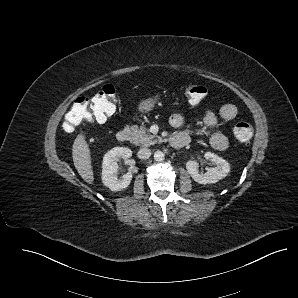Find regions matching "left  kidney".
<instances>
[{
  "label": "left kidney",
  "mask_w": 298,
  "mask_h": 298,
  "mask_svg": "<svg viewBox=\"0 0 298 298\" xmlns=\"http://www.w3.org/2000/svg\"><path fill=\"white\" fill-rule=\"evenodd\" d=\"M206 159L214 163V167L209 168L206 173L198 171V163L196 161H188L186 164L187 170L192 178L202 184L217 182L220 178L225 177L230 170L229 163L222 157L213 152H205Z\"/></svg>",
  "instance_id": "5707ae66"
}]
</instances>
